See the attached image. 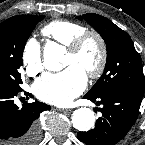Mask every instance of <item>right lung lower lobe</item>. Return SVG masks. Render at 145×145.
<instances>
[{
    "instance_id": "98d812e1",
    "label": "right lung lower lobe",
    "mask_w": 145,
    "mask_h": 145,
    "mask_svg": "<svg viewBox=\"0 0 145 145\" xmlns=\"http://www.w3.org/2000/svg\"><path fill=\"white\" fill-rule=\"evenodd\" d=\"M22 91L0 86V145H36L39 140L38 117L51 107L36 101L19 108L13 99Z\"/></svg>"
}]
</instances>
